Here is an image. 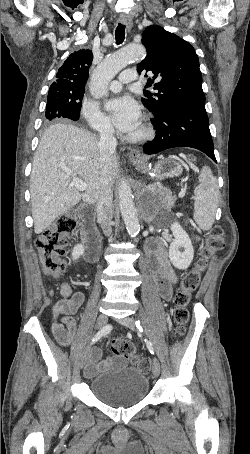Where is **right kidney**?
I'll return each mask as SVG.
<instances>
[{
    "mask_svg": "<svg viewBox=\"0 0 250 454\" xmlns=\"http://www.w3.org/2000/svg\"><path fill=\"white\" fill-rule=\"evenodd\" d=\"M84 253V247L81 244L76 245L72 250V259L76 261Z\"/></svg>",
    "mask_w": 250,
    "mask_h": 454,
    "instance_id": "ca27d5eb",
    "label": "right kidney"
}]
</instances>
